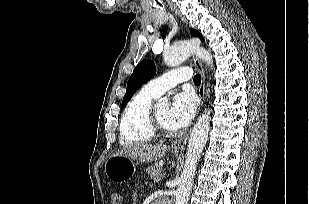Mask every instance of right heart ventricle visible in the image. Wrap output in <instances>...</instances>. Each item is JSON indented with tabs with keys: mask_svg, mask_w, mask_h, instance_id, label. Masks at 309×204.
Listing matches in <instances>:
<instances>
[{
	"mask_svg": "<svg viewBox=\"0 0 309 204\" xmlns=\"http://www.w3.org/2000/svg\"><path fill=\"white\" fill-rule=\"evenodd\" d=\"M156 97L141 90L125 106L119 124L122 145L147 143L154 139L155 133L148 124V113Z\"/></svg>",
	"mask_w": 309,
	"mask_h": 204,
	"instance_id": "e07e8e85",
	"label": "right heart ventricle"
}]
</instances>
